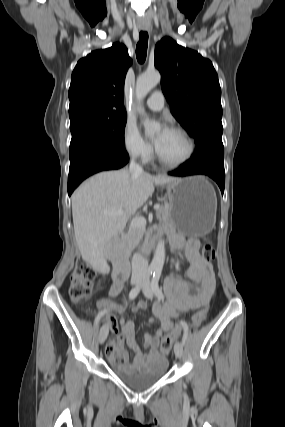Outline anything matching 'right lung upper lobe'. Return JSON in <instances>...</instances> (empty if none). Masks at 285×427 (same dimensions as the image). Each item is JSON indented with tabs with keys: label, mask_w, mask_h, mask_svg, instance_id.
<instances>
[{
	"label": "right lung upper lobe",
	"mask_w": 285,
	"mask_h": 427,
	"mask_svg": "<svg viewBox=\"0 0 285 427\" xmlns=\"http://www.w3.org/2000/svg\"><path fill=\"white\" fill-rule=\"evenodd\" d=\"M131 63L127 48L120 43L80 59L71 76L69 115L83 111L126 112L124 80Z\"/></svg>",
	"instance_id": "right-lung-upper-lobe-1"
}]
</instances>
